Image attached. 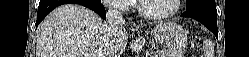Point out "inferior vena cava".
<instances>
[{"mask_svg": "<svg viewBox=\"0 0 249 57\" xmlns=\"http://www.w3.org/2000/svg\"><path fill=\"white\" fill-rule=\"evenodd\" d=\"M107 25L111 31H115L125 25L122 13L117 9L110 7L107 11Z\"/></svg>", "mask_w": 249, "mask_h": 57, "instance_id": "602c4592", "label": "inferior vena cava"}]
</instances>
